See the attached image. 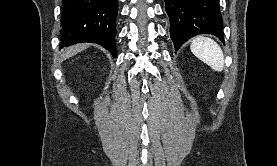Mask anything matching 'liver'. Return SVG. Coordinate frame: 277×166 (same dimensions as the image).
<instances>
[{
	"instance_id": "6515ba94",
	"label": "liver",
	"mask_w": 277,
	"mask_h": 166,
	"mask_svg": "<svg viewBox=\"0 0 277 166\" xmlns=\"http://www.w3.org/2000/svg\"><path fill=\"white\" fill-rule=\"evenodd\" d=\"M87 47L85 44H77L73 47H70L69 49L66 50V52L63 54V59H67L69 57H72L76 55L77 53L81 52Z\"/></svg>"
}]
</instances>
